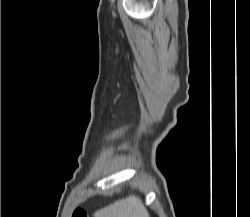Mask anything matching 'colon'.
<instances>
[{"instance_id":"obj_1","label":"colon","mask_w":250,"mask_h":217,"mask_svg":"<svg viewBox=\"0 0 250 217\" xmlns=\"http://www.w3.org/2000/svg\"><path fill=\"white\" fill-rule=\"evenodd\" d=\"M72 217H88V215L84 210L78 208L74 210Z\"/></svg>"}]
</instances>
